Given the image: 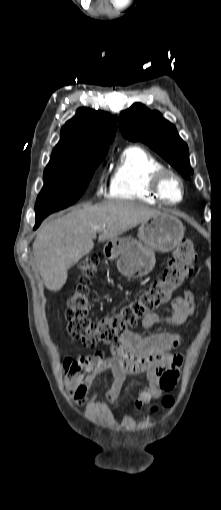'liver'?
Wrapping results in <instances>:
<instances>
[{
	"label": "liver",
	"instance_id": "1",
	"mask_svg": "<svg viewBox=\"0 0 221 510\" xmlns=\"http://www.w3.org/2000/svg\"><path fill=\"white\" fill-rule=\"evenodd\" d=\"M159 210L128 201H106L84 205L45 223L33 242V254L45 287L59 291L72 267L99 242L113 239L136 227Z\"/></svg>",
	"mask_w": 221,
	"mask_h": 510
}]
</instances>
